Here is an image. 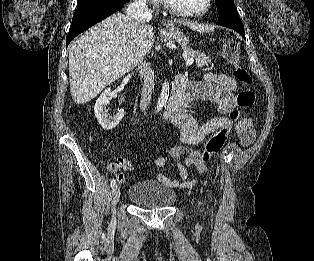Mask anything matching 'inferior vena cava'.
I'll return each instance as SVG.
<instances>
[{
    "mask_svg": "<svg viewBox=\"0 0 314 261\" xmlns=\"http://www.w3.org/2000/svg\"><path fill=\"white\" fill-rule=\"evenodd\" d=\"M126 13L139 24H142L152 18V13L148 9L146 0H134V2L128 6ZM138 69L140 74L144 77V85L140 98V109L141 111H144L147 109L151 101L154 90V72L150 64L143 60L140 61Z\"/></svg>",
    "mask_w": 314,
    "mask_h": 261,
    "instance_id": "inferior-vena-cava-1",
    "label": "inferior vena cava"
}]
</instances>
